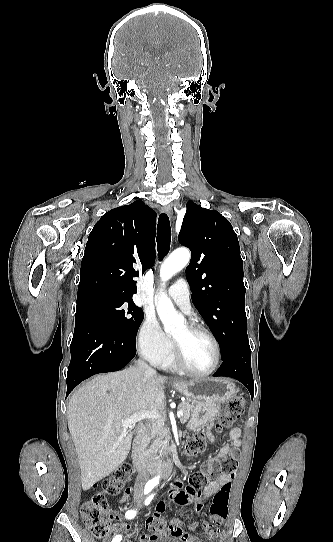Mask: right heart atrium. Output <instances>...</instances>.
Instances as JSON below:
<instances>
[{"label":"right heart atrium","mask_w":333,"mask_h":542,"mask_svg":"<svg viewBox=\"0 0 333 542\" xmlns=\"http://www.w3.org/2000/svg\"><path fill=\"white\" fill-rule=\"evenodd\" d=\"M138 352L146 358L157 357L167 351L171 341L162 330L158 320L154 316H146L137 332Z\"/></svg>","instance_id":"1"}]
</instances>
